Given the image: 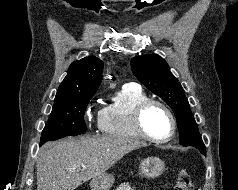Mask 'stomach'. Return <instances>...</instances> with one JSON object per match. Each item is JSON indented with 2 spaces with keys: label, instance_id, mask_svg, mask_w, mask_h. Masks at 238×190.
Wrapping results in <instances>:
<instances>
[{
  "label": "stomach",
  "instance_id": "stomach-1",
  "mask_svg": "<svg viewBox=\"0 0 238 190\" xmlns=\"http://www.w3.org/2000/svg\"><path fill=\"white\" fill-rule=\"evenodd\" d=\"M139 168L145 177L155 179L163 173L165 164L158 157H148L142 160ZM114 181L115 178L113 175L105 173L93 178L90 182V187L92 190H109L114 184Z\"/></svg>",
  "mask_w": 238,
  "mask_h": 190
}]
</instances>
